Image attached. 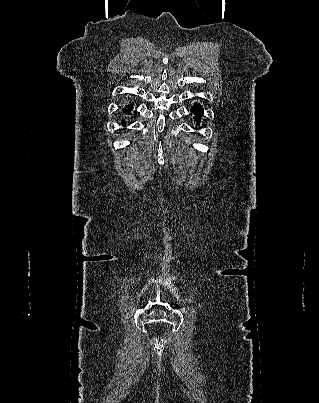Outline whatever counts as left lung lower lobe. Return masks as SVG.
I'll return each mask as SVG.
<instances>
[{
    "mask_svg": "<svg viewBox=\"0 0 319 403\" xmlns=\"http://www.w3.org/2000/svg\"><path fill=\"white\" fill-rule=\"evenodd\" d=\"M191 112L195 114V118L197 120L196 124L199 125V118L203 115V108L200 104H194V106L191 107Z\"/></svg>",
    "mask_w": 319,
    "mask_h": 403,
    "instance_id": "1",
    "label": "left lung lower lobe"
}]
</instances>
